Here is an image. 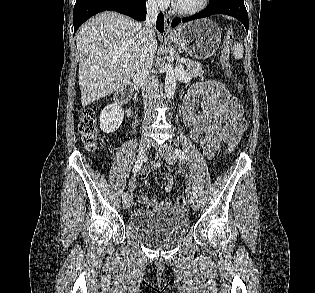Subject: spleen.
<instances>
[{
	"instance_id": "3e777b00",
	"label": "spleen",
	"mask_w": 315,
	"mask_h": 293,
	"mask_svg": "<svg viewBox=\"0 0 315 293\" xmlns=\"http://www.w3.org/2000/svg\"><path fill=\"white\" fill-rule=\"evenodd\" d=\"M232 51H233V56L235 59L239 60L241 58H243V53H244V49H243V45L240 44V43H235L233 48H232Z\"/></svg>"
}]
</instances>
